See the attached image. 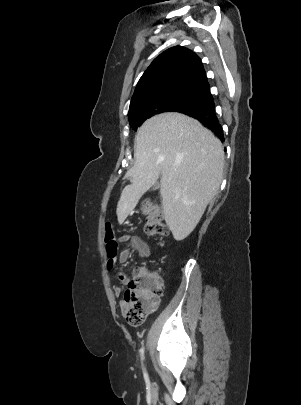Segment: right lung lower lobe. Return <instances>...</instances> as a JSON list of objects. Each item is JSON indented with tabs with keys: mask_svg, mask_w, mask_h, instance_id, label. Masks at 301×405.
I'll use <instances>...</instances> for the list:
<instances>
[{
	"mask_svg": "<svg viewBox=\"0 0 301 405\" xmlns=\"http://www.w3.org/2000/svg\"><path fill=\"white\" fill-rule=\"evenodd\" d=\"M178 112L199 120L205 127L217 135L222 142L224 141L223 129L218 122L214 102L197 108H186Z\"/></svg>",
	"mask_w": 301,
	"mask_h": 405,
	"instance_id": "obj_1",
	"label": "right lung lower lobe"
}]
</instances>
